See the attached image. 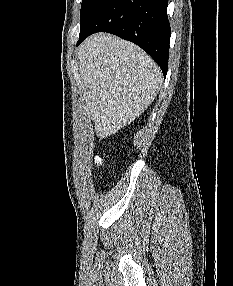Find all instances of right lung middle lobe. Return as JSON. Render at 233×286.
I'll return each instance as SVG.
<instances>
[{"label": "right lung middle lobe", "mask_w": 233, "mask_h": 286, "mask_svg": "<svg viewBox=\"0 0 233 286\" xmlns=\"http://www.w3.org/2000/svg\"><path fill=\"white\" fill-rule=\"evenodd\" d=\"M99 0H83L81 5V12H80V21L82 22L90 10L93 8V6L98 2Z\"/></svg>", "instance_id": "1"}]
</instances>
